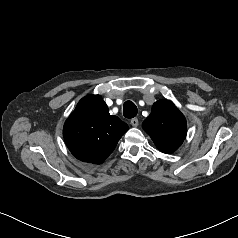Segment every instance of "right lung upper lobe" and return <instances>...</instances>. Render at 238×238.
<instances>
[{
	"label": "right lung upper lobe",
	"mask_w": 238,
	"mask_h": 238,
	"mask_svg": "<svg viewBox=\"0 0 238 238\" xmlns=\"http://www.w3.org/2000/svg\"><path fill=\"white\" fill-rule=\"evenodd\" d=\"M128 129L126 123L109 114L101 96L88 95L66 120L63 136L77 159L99 164L112 153Z\"/></svg>",
	"instance_id": "cb5924a9"
}]
</instances>
